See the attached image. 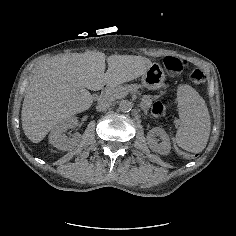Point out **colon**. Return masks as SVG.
<instances>
[{
    "mask_svg": "<svg viewBox=\"0 0 236 236\" xmlns=\"http://www.w3.org/2000/svg\"><path fill=\"white\" fill-rule=\"evenodd\" d=\"M163 65L166 70L177 73L183 72L188 67L186 59L175 56L165 57L163 59ZM189 78L193 84H203L205 82V75L198 68L192 70L189 75ZM151 112L157 117H164L166 115V108L164 102L158 98L154 99L151 106Z\"/></svg>",
    "mask_w": 236,
    "mask_h": 236,
    "instance_id": "colon-1",
    "label": "colon"
}]
</instances>
